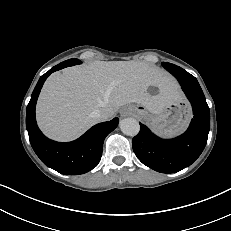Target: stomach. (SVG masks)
I'll return each instance as SVG.
<instances>
[{
	"label": "stomach",
	"mask_w": 231,
	"mask_h": 231,
	"mask_svg": "<svg viewBox=\"0 0 231 231\" xmlns=\"http://www.w3.org/2000/svg\"><path fill=\"white\" fill-rule=\"evenodd\" d=\"M142 107L139 104L129 106L133 114L143 118L156 133L166 137L182 132L191 118L190 106L183 97L173 101L156 115Z\"/></svg>",
	"instance_id": "1"
}]
</instances>
